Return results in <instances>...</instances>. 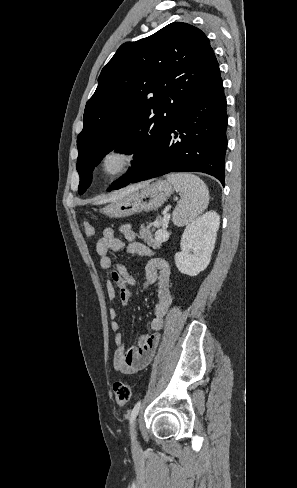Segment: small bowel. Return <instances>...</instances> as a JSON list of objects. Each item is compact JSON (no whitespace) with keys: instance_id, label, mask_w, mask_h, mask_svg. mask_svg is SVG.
<instances>
[{"instance_id":"1","label":"small bowel","mask_w":297,"mask_h":488,"mask_svg":"<svg viewBox=\"0 0 297 488\" xmlns=\"http://www.w3.org/2000/svg\"><path fill=\"white\" fill-rule=\"evenodd\" d=\"M117 236L114 228H105L97 240L95 250L99 256V269L106 274L105 288L112 303L116 299L122 305H127L132 298V288L136 286L135 279L127 269L113 260L112 255L126 251L131 254L149 257L145 268L143 288L157 285V303L154 307V317L150 323L151 333L143 335L138 344L124 348L121 326L118 323V311L114 306L109 307L111 331L115 337V351L113 365L115 370L123 375L134 374L145 368L153 359L159 342V331L163 328L166 315L172 304L170 268L168 263L155 255V252L144 243L137 241V235L131 225L119 227Z\"/></svg>"}]
</instances>
